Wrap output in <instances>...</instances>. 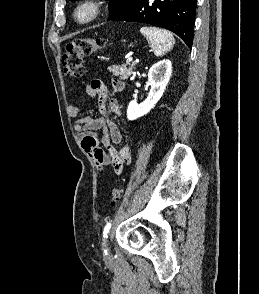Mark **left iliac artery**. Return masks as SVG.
Instances as JSON below:
<instances>
[{
	"mask_svg": "<svg viewBox=\"0 0 259 294\" xmlns=\"http://www.w3.org/2000/svg\"><path fill=\"white\" fill-rule=\"evenodd\" d=\"M111 226H112V223L110 222V223H107V225L104 227V231H103V238L104 239L103 240H105L108 237V233L110 231ZM104 251H105V253H107L106 250H104Z\"/></svg>",
	"mask_w": 259,
	"mask_h": 294,
	"instance_id": "1",
	"label": "left iliac artery"
}]
</instances>
